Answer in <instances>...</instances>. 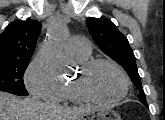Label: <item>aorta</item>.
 I'll return each mask as SVG.
<instances>
[{"instance_id": "1", "label": "aorta", "mask_w": 165, "mask_h": 120, "mask_svg": "<svg viewBox=\"0 0 165 120\" xmlns=\"http://www.w3.org/2000/svg\"><path fill=\"white\" fill-rule=\"evenodd\" d=\"M65 34V23L59 19L55 20L49 29L47 39L39 51L40 58L54 75H60L66 70V62L63 58Z\"/></svg>"}]
</instances>
